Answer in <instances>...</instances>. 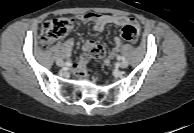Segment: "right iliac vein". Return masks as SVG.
<instances>
[{
    "label": "right iliac vein",
    "instance_id": "63e3f726",
    "mask_svg": "<svg viewBox=\"0 0 194 133\" xmlns=\"http://www.w3.org/2000/svg\"><path fill=\"white\" fill-rule=\"evenodd\" d=\"M56 64H57L58 66H60V67H62V66L65 65V63H64L61 59H58V60L56 61Z\"/></svg>",
    "mask_w": 194,
    "mask_h": 133
}]
</instances>
